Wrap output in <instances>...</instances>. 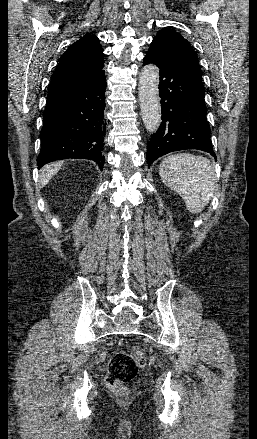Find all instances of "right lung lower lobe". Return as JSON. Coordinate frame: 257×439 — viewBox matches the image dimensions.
I'll return each instance as SVG.
<instances>
[{
    "mask_svg": "<svg viewBox=\"0 0 257 439\" xmlns=\"http://www.w3.org/2000/svg\"><path fill=\"white\" fill-rule=\"evenodd\" d=\"M106 78L104 71L75 84L48 93L40 133L38 168L61 159L95 161L103 168L102 156Z\"/></svg>",
    "mask_w": 257,
    "mask_h": 439,
    "instance_id": "right-lung-lower-lobe-1",
    "label": "right lung lower lobe"
}]
</instances>
